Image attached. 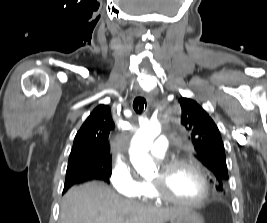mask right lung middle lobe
I'll use <instances>...</instances> for the list:
<instances>
[{
  "label": "right lung middle lobe",
  "mask_w": 267,
  "mask_h": 223,
  "mask_svg": "<svg viewBox=\"0 0 267 223\" xmlns=\"http://www.w3.org/2000/svg\"><path fill=\"white\" fill-rule=\"evenodd\" d=\"M94 166L95 165L89 161L73 162L71 164H68L66 175L81 170L91 171V169H93ZM107 167L109 168V170L106 174H103L104 181H108V178L111 176V163H109Z\"/></svg>",
  "instance_id": "1"
}]
</instances>
